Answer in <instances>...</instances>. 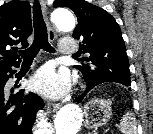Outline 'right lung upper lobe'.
I'll list each match as a JSON object with an SVG mask.
<instances>
[{"mask_svg":"<svg viewBox=\"0 0 153 134\" xmlns=\"http://www.w3.org/2000/svg\"><path fill=\"white\" fill-rule=\"evenodd\" d=\"M31 34V10L28 2L11 1L0 6V69L20 62L14 46L21 44L23 48L27 47V38Z\"/></svg>","mask_w":153,"mask_h":134,"instance_id":"cb5924a9","label":"right lung upper lobe"}]
</instances>
